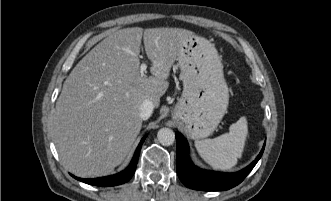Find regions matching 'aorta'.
<instances>
[{
	"instance_id": "aorta-1",
	"label": "aorta",
	"mask_w": 331,
	"mask_h": 201,
	"mask_svg": "<svg viewBox=\"0 0 331 201\" xmlns=\"http://www.w3.org/2000/svg\"><path fill=\"white\" fill-rule=\"evenodd\" d=\"M158 141L165 146H170L175 141V133L170 128H161L157 133Z\"/></svg>"
}]
</instances>
